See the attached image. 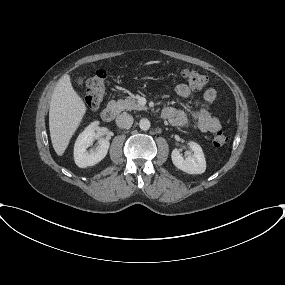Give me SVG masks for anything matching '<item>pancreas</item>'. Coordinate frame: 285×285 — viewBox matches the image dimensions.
Wrapping results in <instances>:
<instances>
[{"label":"pancreas","mask_w":285,"mask_h":285,"mask_svg":"<svg viewBox=\"0 0 285 285\" xmlns=\"http://www.w3.org/2000/svg\"><path fill=\"white\" fill-rule=\"evenodd\" d=\"M110 103L113 105L116 112L146 109V107L139 105L135 99H120L118 101H111Z\"/></svg>","instance_id":"cf45deb5"}]
</instances>
